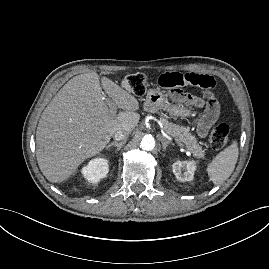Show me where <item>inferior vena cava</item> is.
Instances as JSON below:
<instances>
[{
  "instance_id": "obj_1",
  "label": "inferior vena cava",
  "mask_w": 269,
  "mask_h": 269,
  "mask_svg": "<svg viewBox=\"0 0 269 269\" xmlns=\"http://www.w3.org/2000/svg\"><path fill=\"white\" fill-rule=\"evenodd\" d=\"M129 136V132L125 131V130H118L115 134H114V139L116 141H126V139Z\"/></svg>"
}]
</instances>
